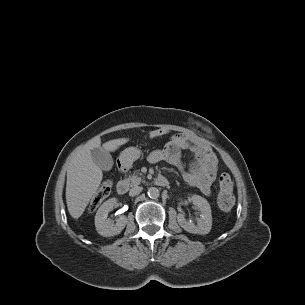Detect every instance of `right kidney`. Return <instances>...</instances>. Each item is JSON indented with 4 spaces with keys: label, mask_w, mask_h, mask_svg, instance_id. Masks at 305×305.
<instances>
[{
    "label": "right kidney",
    "mask_w": 305,
    "mask_h": 305,
    "mask_svg": "<svg viewBox=\"0 0 305 305\" xmlns=\"http://www.w3.org/2000/svg\"><path fill=\"white\" fill-rule=\"evenodd\" d=\"M116 203V198L108 199L97 210L95 227L101 236L110 237L120 234L127 224V217L124 215L117 218L115 224L111 219L107 218L108 213L113 210Z\"/></svg>",
    "instance_id": "ca27d5eb"
}]
</instances>
